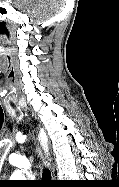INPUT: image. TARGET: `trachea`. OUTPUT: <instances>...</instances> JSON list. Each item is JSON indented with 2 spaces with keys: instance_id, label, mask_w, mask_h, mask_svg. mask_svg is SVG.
<instances>
[{
  "instance_id": "trachea-1",
  "label": "trachea",
  "mask_w": 119,
  "mask_h": 187,
  "mask_svg": "<svg viewBox=\"0 0 119 187\" xmlns=\"http://www.w3.org/2000/svg\"><path fill=\"white\" fill-rule=\"evenodd\" d=\"M51 174L49 170H44L43 172V178H50Z\"/></svg>"
}]
</instances>
